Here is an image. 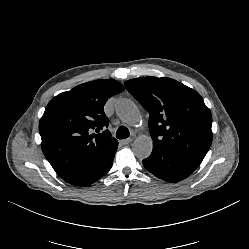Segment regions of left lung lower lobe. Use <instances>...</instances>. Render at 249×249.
<instances>
[{
	"label": "left lung lower lobe",
	"mask_w": 249,
	"mask_h": 249,
	"mask_svg": "<svg viewBox=\"0 0 249 249\" xmlns=\"http://www.w3.org/2000/svg\"><path fill=\"white\" fill-rule=\"evenodd\" d=\"M201 162V159L153 146L151 155L143 160V165L160 179L178 182L193 173Z\"/></svg>",
	"instance_id": "left-lung-lower-lobe-1"
}]
</instances>
